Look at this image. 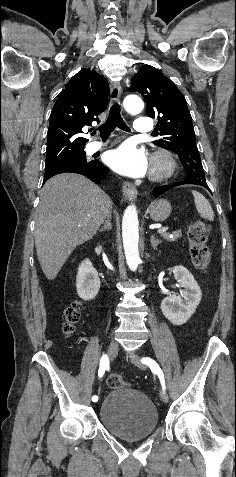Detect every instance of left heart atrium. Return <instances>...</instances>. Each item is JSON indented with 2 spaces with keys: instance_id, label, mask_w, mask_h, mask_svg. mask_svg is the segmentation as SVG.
I'll use <instances>...</instances> for the list:
<instances>
[{
  "instance_id": "1",
  "label": "left heart atrium",
  "mask_w": 236,
  "mask_h": 477,
  "mask_svg": "<svg viewBox=\"0 0 236 477\" xmlns=\"http://www.w3.org/2000/svg\"><path fill=\"white\" fill-rule=\"evenodd\" d=\"M105 161L114 171L134 178L144 176L150 167L146 152L131 142L108 151Z\"/></svg>"
}]
</instances>
